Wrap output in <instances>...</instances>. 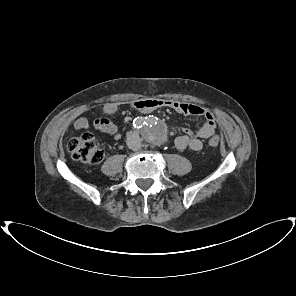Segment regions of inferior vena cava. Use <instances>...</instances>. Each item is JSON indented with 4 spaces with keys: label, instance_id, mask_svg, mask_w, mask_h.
Instances as JSON below:
<instances>
[{
    "label": "inferior vena cava",
    "instance_id": "1",
    "mask_svg": "<svg viewBox=\"0 0 296 296\" xmlns=\"http://www.w3.org/2000/svg\"><path fill=\"white\" fill-rule=\"evenodd\" d=\"M126 144L128 148L137 150L141 146V139L137 133H131L126 139Z\"/></svg>",
    "mask_w": 296,
    "mask_h": 296
}]
</instances>
